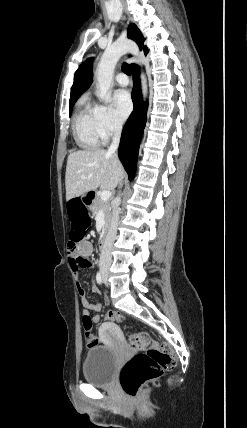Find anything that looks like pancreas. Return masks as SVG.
<instances>
[{"instance_id":"1","label":"pancreas","mask_w":247,"mask_h":428,"mask_svg":"<svg viewBox=\"0 0 247 428\" xmlns=\"http://www.w3.org/2000/svg\"><path fill=\"white\" fill-rule=\"evenodd\" d=\"M92 213L94 216L97 215V213L102 210L104 212V219L106 222L109 221L110 216H111V206H110V202L109 201H103L101 200L100 195H97L92 206Z\"/></svg>"}]
</instances>
